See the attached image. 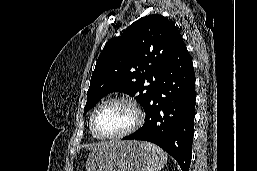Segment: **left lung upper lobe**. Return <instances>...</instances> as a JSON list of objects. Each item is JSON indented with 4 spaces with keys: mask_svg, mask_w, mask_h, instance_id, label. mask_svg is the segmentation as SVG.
Returning <instances> with one entry per match:
<instances>
[{
    "mask_svg": "<svg viewBox=\"0 0 257 171\" xmlns=\"http://www.w3.org/2000/svg\"><path fill=\"white\" fill-rule=\"evenodd\" d=\"M184 46L180 32L165 17L153 14L135 21L101 51L84 112L111 92L136 96L145 109L169 58Z\"/></svg>",
    "mask_w": 257,
    "mask_h": 171,
    "instance_id": "obj_1",
    "label": "left lung upper lobe"
}]
</instances>
